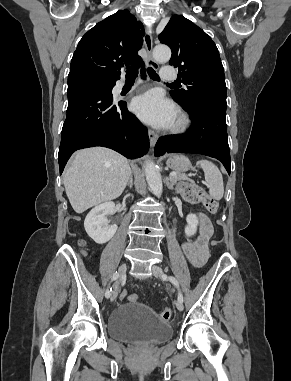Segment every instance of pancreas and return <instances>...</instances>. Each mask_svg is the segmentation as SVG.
<instances>
[{"mask_svg":"<svg viewBox=\"0 0 291 381\" xmlns=\"http://www.w3.org/2000/svg\"><path fill=\"white\" fill-rule=\"evenodd\" d=\"M184 180H188V181H191L188 177H186L184 174H181V173H178L176 172V176L171 178V182L173 184H176L178 181H184Z\"/></svg>","mask_w":291,"mask_h":381,"instance_id":"pancreas-1","label":"pancreas"}]
</instances>
